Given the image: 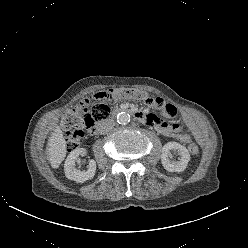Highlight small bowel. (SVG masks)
<instances>
[{
  "label": "small bowel",
  "mask_w": 248,
  "mask_h": 248,
  "mask_svg": "<svg viewBox=\"0 0 248 248\" xmlns=\"http://www.w3.org/2000/svg\"><path fill=\"white\" fill-rule=\"evenodd\" d=\"M154 107L159 108L162 105L161 100L156 99L153 102ZM160 116L165 117V119L170 120V119H175L178 116L177 111H175L171 104L166 103L164 104L163 108L160 109L159 111ZM183 120L185 124L189 127L191 130L193 136L198 140L202 141L203 140V133L196 123V121L188 116L184 115ZM144 123L149 124L153 123L154 127L158 130V132L164 136L167 137H173L177 141L182 142V143H188L191 140V135L184 133L180 130L179 124H168L163 122L162 118L157 117L156 115H146L143 118Z\"/></svg>",
  "instance_id": "small-bowel-1"
}]
</instances>
